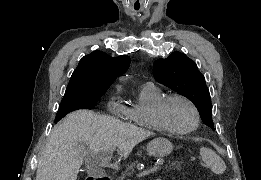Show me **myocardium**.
Listing matches in <instances>:
<instances>
[{
  "instance_id": "1",
  "label": "myocardium",
  "mask_w": 261,
  "mask_h": 180,
  "mask_svg": "<svg viewBox=\"0 0 261 180\" xmlns=\"http://www.w3.org/2000/svg\"><path fill=\"white\" fill-rule=\"evenodd\" d=\"M176 101L185 103L193 112V123L189 128L185 130H173L169 128L159 117V112L163 107L168 106L172 102ZM144 119L148 127L157 136L182 137L191 134L198 128L201 122V114L198 106L190 98L185 95L172 94L165 96L156 107H154L152 110L144 115Z\"/></svg>"
}]
</instances>
